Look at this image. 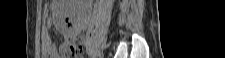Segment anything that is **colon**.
Returning <instances> with one entry per match:
<instances>
[{
	"label": "colon",
	"instance_id": "5ec220e1",
	"mask_svg": "<svg viewBox=\"0 0 225 58\" xmlns=\"http://www.w3.org/2000/svg\"><path fill=\"white\" fill-rule=\"evenodd\" d=\"M83 52V47L81 44L74 43V44H69L65 46L62 49V57L63 58H76L80 57Z\"/></svg>",
	"mask_w": 225,
	"mask_h": 58
}]
</instances>
